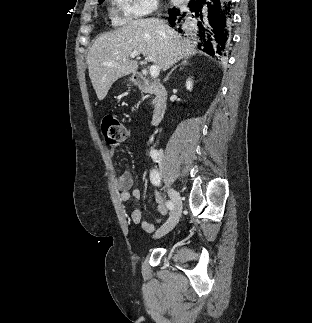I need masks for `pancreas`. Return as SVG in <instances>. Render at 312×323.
<instances>
[{
  "label": "pancreas",
  "instance_id": "obj_1",
  "mask_svg": "<svg viewBox=\"0 0 312 323\" xmlns=\"http://www.w3.org/2000/svg\"><path fill=\"white\" fill-rule=\"evenodd\" d=\"M153 104H155V100H153Z\"/></svg>",
  "mask_w": 312,
  "mask_h": 323
}]
</instances>
